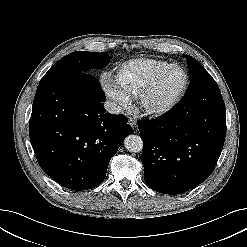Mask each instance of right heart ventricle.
Segmentation results:
<instances>
[{
  "label": "right heart ventricle",
  "mask_w": 247,
  "mask_h": 247,
  "mask_svg": "<svg viewBox=\"0 0 247 247\" xmlns=\"http://www.w3.org/2000/svg\"><path fill=\"white\" fill-rule=\"evenodd\" d=\"M167 65V61L152 58L129 60L118 67L115 83L128 96H136L150 77Z\"/></svg>",
  "instance_id": "obj_1"
}]
</instances>
